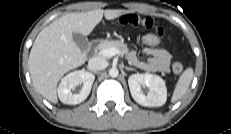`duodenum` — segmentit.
<instances>
[{"label": "duodenum", "mask_w": 231, "mask_h": 134, "mask_svg": "<svg viewBox=\"0 0 231 134\" xmlns=\"http://www.w3.org/2000/svg\"><path fill=\"white\" fill-rule=\"evenodd\" d=\"M101 43V40L100 39H96L92 42V47L93 48H96L99 46V44Z\"/></svg>", "instance_id": "1"}]
</instances>
